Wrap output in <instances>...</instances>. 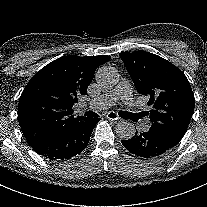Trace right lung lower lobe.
<instances>
[{"label": "right lung lower lobe", "mask_w": 207, "mask_h": 207, "mask_svg": "<svg viewBox=\"0 0 207 207\" xmlns=\"http://www.w3.org/2000/svg\"><path fill=\"white\" fill-rule=\"evenodd\" d=\"M97 117H76L53 137L32 148L51 161L70 159L80 154L88 145L92 131L100 120Z\"/></svg>", "instance_id": "right-lung-lower-lobe-1"}]
</instances>
